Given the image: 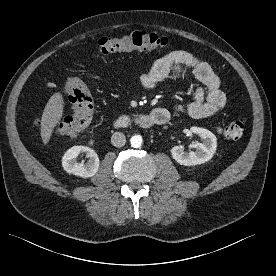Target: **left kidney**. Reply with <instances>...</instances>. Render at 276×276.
Returning a JSON list of instances; mask_svg holds the SVG:
<instances>
[{
	"mask_svg": "<svg viewBox=\"0 0 276 276\" xmlns=\"http://www.w3.org/2000/svg\"><path fill=\"white\" fill-rule=\"evenodd\" d=\"M189 133L198 135L202 143L193 142L190 147L195 151L185 152L180 146H174L171 150L172 157L177 163L184 166H195L209 161L217 148V138L209 130L201 127H191Z\"/></svg>",
	"mask_w": 276,
	"mask_h": 276,
	"instance_id": "5707ae66",
	"label": "left kidney"
}]
</instances>
